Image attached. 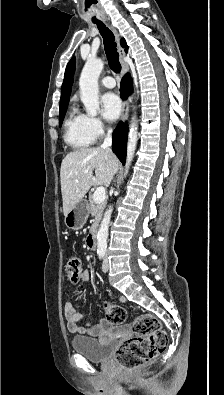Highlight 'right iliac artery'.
Segmentation results:
<instances>
[{"label":"right iliac artery","instance_id":"obj_1","mask_svg":"<svg viewBox=\"0 0 224 395\" xmlns=\"http://www.w3.org/2000/svg\"><path fill=\"white\" fill-rule=\"evenodd\" d=\"M106 252L105 251H100L98 252L99 258L103 259L105 257Z\"/></svg>","mask_w":224,"mask_h":395}]
</instances>
